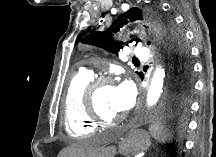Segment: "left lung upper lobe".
I'll use <instances>...</instances> for the list:
<instances>
[{"mask_svg": "<svg viewBox=\"0 0 216 157\" xmlns=\"http://www.w3.org/2000/svg\"><path fill=\"white\" fill-rule=\"evenodd\" d=\"M144 20L161 38L168 60V88L173 77L181 84L191 80L192 65L189 49L185 43L183 34L175 27L172 19L164 16L156 8L141 10L138 7L130 8L127 12L119 15L105 31H94L88 34L83 40L84 44L100 46L112 53H117L123 42L115 41L113 35L120 31V28L130 22ZM132 41L140 42V39L133 38ZM141 77V73H138Z\"/></svg>", "mask_w": 216, "mask_h": 157, "instance_id": "obj_1", "label": "left lung upper lobe"}]
</instances>
